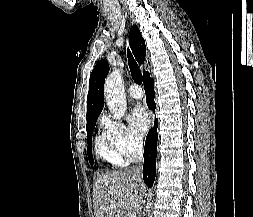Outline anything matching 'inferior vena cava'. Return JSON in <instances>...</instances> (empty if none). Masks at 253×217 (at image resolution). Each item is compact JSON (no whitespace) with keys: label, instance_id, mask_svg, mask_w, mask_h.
Returning a JSON list of instances; mask_svg holds the SVG:
<instances>
[{"label":"inferior vena cava","instance_id":"1","mask_svg":"<svg viewBox=\"0 0 253 217\" xmlns=\"http://www.w3.org/2000/svg\"><path fill=\"white\" fill-rule=\"evenodd\" d=\"M135 165L126 169V172L135 179L136 184H141V173H142V164H143V142L142 139L139 138L136 140L135 144ZM142 194H140V199H145V194H147V189H142Z\"/></svg>","mask_w":253,"mask_h":217}]
</instances>
